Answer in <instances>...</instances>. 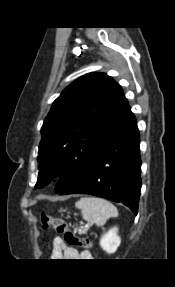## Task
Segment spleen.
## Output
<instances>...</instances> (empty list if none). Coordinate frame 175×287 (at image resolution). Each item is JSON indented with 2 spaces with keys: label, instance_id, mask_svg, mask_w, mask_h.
I'll return each instance as SVG.
<instances>
[{
  "label": "spleen",
  "instance_id": "3e777b00",
  "mask_svg": "<svg viewBox=\"0 0 175 287\" xmlns=\"http://www.w3.org/2000/svg\"><path fill=\"white\" fill-rule=\"evenodd\" d=\"M82 218L97 226H103L111 217H117V208L109 201L98 197H82L75 203Z\"/></svg>",
  "mask_w": 175,
  "mask_h": 287
}]
</instances>
